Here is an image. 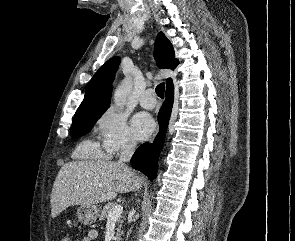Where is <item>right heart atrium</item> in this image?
<instances>
[{
	"instance_id": "right-heart-atrium-1",
	"label": "right heart atrium",
	"mask_w": 295,
	"mask_h": 241,
	"mask_svg": "<svg viewBox=\"0 0 295 241\" xmlns=\"http://www.w3.org/2000/svg\"><path fill=\"white\" fill-rule=\"evenodd\" d=\"M93 131L107 156L132 149L136 144L126 117L113 107L97 117Z\"/></svg>"
}]
</instances>
